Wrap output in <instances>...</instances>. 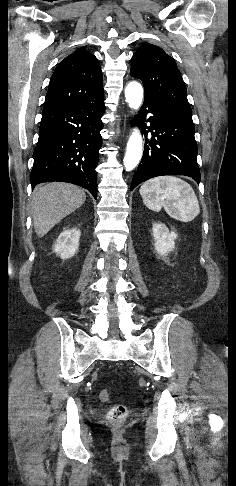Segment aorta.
Masks as SVG:
<instances>
[{"label":"aorta","mask_w":236,"mask_h":486,"mask_svg":"<svg viewBox=\"0 0 236 486\" xmlns=\"http://www.w3.org/2000/svg\"><path fill=\"white\" fill-rule=\"evenodd\" d=\"M125 98L129 107L137 110L143 99V89L140 83L130 82L125 88ZM142 152V137L140 131L134 128L129 137L124 157V166L127 171L133 170L138 165Z\"/></svg>","instance_id":"obj_1"}]
</instances>
